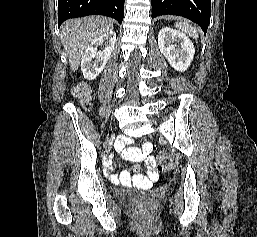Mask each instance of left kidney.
Instances as JSON below:
<instances>
[{"label":"left kidney","instance_id":"obj_1","mask_svg":"<svg viewBox=\"0 0 257 237\" xmlns=\"http://www.w3.org/2000/svg\"><path fill=\"white\" fill-rule=\"evenodd\" d=\"M158 46L169 64L181 72L190 66L195 54L193 43L185 34L167 27L159 31Z\"/></svg>","mask_w":257,"mask_h":237}]
</instances>
